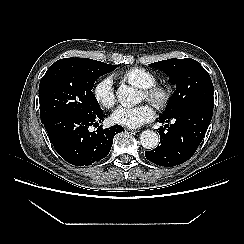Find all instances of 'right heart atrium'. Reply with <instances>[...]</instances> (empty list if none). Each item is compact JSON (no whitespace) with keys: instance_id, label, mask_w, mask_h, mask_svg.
<instances>
[{"instance_id":"d8ad5b80","label":"right heart atrium","mask_w":244,"mask_h":244,"mask_svg":"<svg viewBox=\"0 0 244 244\" xmlns=\"http://www.w3.org/2000/svg\"><path fill=\"white\" fill-rule=\"evenodd\" d=\"M94 98L100 106L106 109L112 108L116 103L111 77H105L99 81L93 90Z\"/></svg>"}]
</instances>
